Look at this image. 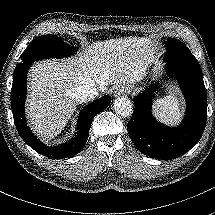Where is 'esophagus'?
I'll use <instances>...</instances> for the list:
<instances>
[{"instance_id": "obj_1", "label": "esophagus", "mask_w": 215, "mask_h": 215, "mask_svg": "<svg viewBox=\"0 0 215 215\" xmlns=\"http://www.w3.org/2000/svg\"><path fill=\"white\" fill-rule=\"evenodd\" d=\"M114 95H115V97H118V96H120V93H115Z\"/></svg>"}]
</instances>
